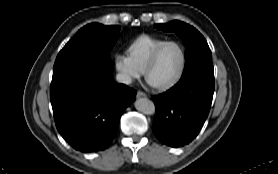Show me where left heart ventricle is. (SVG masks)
I'll return each mask as SVG.
<instances>
[{
	"instance_id": "left-heart-ventricle-1",
	"label": "left heart ventricle",
	"mask_w": 278,
	"mask_h": 174,
	"mask_svg": "<svg viewBox=\"0 0 278 174\" xmlns=\"http://www.w3.org/2000/svg\"><path fill=\"white\" fill-rule=\"evenodd\" d=\"M181 51L175 44L166 46L160 54L158 62L151 71L149 78L155 83H165L171 80L179 70Z\"/></svg>"
}]
</instances>
